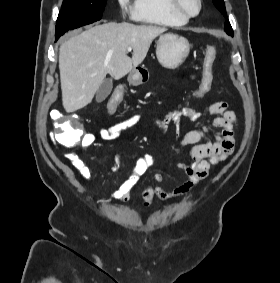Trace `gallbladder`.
Returning a JSON list of instances; mask_svg holds the SVG:
<instances>
[{
  "label": "gallbladder",
  "mask_w": 280,
  "mask_h": 283,
  "mask_svg": "<svg viewBox=\"0 0 280 283\" xmlns=\"http://www.w3.org/2000/svg\"><path fill=\"white\" fill-rule=\"evenodd\" d=\"M113 88V84H112V79L111 78H107L104 79V81L101 83V85L99 86L97 92H96V102H102L103 100H105L111 93Z\"/></svg>",
  "instance_id": "bac80fb5"
}]
</instances>
